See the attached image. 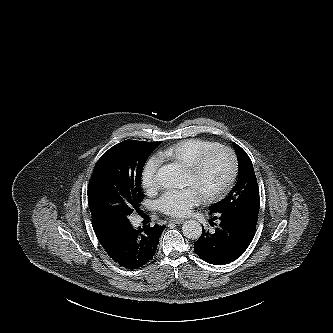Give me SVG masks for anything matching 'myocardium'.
Instances as JSON below:
<instances>
[{"mask_svg": "<svg viewBox=\"0 0 333 333\" xmlns=\"http://www.w3.org/2000/svg\"><path fill=\"white\" fill-rule=\"evenodd\" d=\"M220 150H225L228 151L233 159V169L231 172V175L227 182L224 184V186L216 191L213 194L207 195L204 197L205 202L207 203H212L221 200L224 198L234 187L235 182L237 180L238 174H239V168H240V163H239V158L236 153V151L231 147L226 144L218 143L216 145H213L212 147L202 151L200 154H198L189 164L185 166V171L195 175L197 174L206 161L209 159V157L214 154L217 151Z\"/></svg>", "mask_w": 333, "mask_h": 333, "instance_id": "obj_1", "label": "myocardium"}]
</instances>
